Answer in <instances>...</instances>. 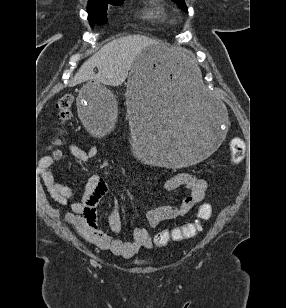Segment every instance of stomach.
Instances as JSON below:
<instances>
[{
    "instance_id": "obj_1",
    "label": "stomach",
    "mask_w": 286,
    "mask_h": 308,
    "mask_svg": "<svg viewBox=\"0 0 286 308\" xmlns=\"http://www.w3.org/2000/svg\"><path fill=\"white\" fill-rule=\"evenodd\" d=\"M192 51H174L167 44L148 46L134 60L127 82L129 124L137 127L139 152L156 168H193L209 158L218 144H227L224 100L203 86ZM111 85L90 81L76 97L80 124L103 133H122L121 109Z\"/></svg>"
}]
</instances>
